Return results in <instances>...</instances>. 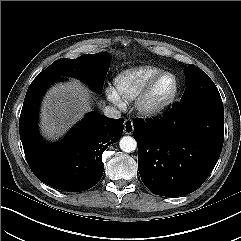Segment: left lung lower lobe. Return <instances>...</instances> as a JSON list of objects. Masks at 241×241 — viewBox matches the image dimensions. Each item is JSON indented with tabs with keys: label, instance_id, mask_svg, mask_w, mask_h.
Listing matches in <instances>:
<instances>
[{
	"label": "left lung lower lobe",
	"instance_id": "left-lung-lower-lobe-1",
	"mask_svg": "<svg viewBox=\"0 0 241 241\" xmlns=\"http://www.w3.org/2000/svg\"><path fill=\"white\" fill-rule=\"evenodd\" d=\"M138 169L154 194L174 197L197 190L215 167L224 140L222 100L180 101L151 122L134 121Z\"/></svg>",
	"mask_w": 241,
	"mask_h": 241
}]
</instances>
